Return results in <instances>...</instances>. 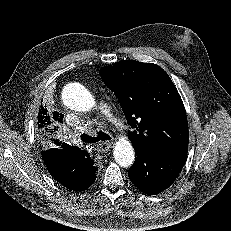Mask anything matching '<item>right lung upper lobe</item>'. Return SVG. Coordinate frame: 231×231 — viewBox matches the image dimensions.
Wrapping results in <instances>:
<instances>
[{
	"instance_id": "1",
	"label": "right lung upper lobe",
	"mask_w": 231,
	"mask_h": 231,
	"mask_svg": "<svg viewBox=\"0 0 231 231\" xmlns=\"http://www.w3.org/2000/svg\"><path fill=\"white\" fill-rule=\"evenodd\" d=\"M60 120L62 119H55V121ZM55 121L47 109L41 106L38 113L39 131L42 134L49 132L48 130H51L50 128ZM44 137L47 136L44 135ZM78 156L84 159L86 157L85 151L55 139L47 141L42 151L43 160L50 174L63 186L73 190L81 183L87 168V165L77 161Z\"/></svg>"
}]
</instances>
